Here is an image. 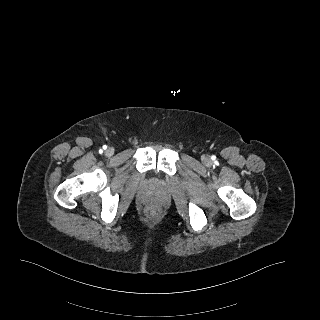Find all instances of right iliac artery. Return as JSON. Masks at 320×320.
Returning a JSON list of instances; mask_svg holds the SVG:
<instances>
[{"mask_svg": "<svg viewBox=\"0 0 320 320\" xmlns=\"http://www.w3.org/2000/svg\"><path fill=\"white\" fill-rule=\"evenodd\" d=\"M107 147L106 146H103V149H106Z\"/></svg>", "mask_w": 320, "mask_h": 320, "instance_id": "1", "label": "right iliac artery"}]
</instances>
